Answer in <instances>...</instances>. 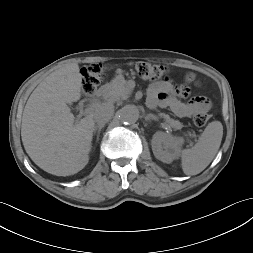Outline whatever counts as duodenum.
Listing matches in <instances>:
<instances>
[{
    "label": "duodenum",
    "instance_id": "duodenum-1",
    "mask_svg": "<svg viewBox=\"0 0 253 253\" xmlns=\"http://www.w3.org/2000/svg\"><path fill=\"white\" fill-rule=\"evenodd\" d=\"M99 94H100V95L102 94V90L99 91Z\"/></svg>",
    "mask_w": 253,
    "mask_h": 253
}]
</instances>
